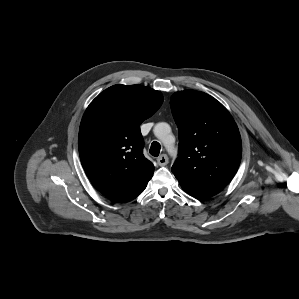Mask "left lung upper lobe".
<instances>
[{
    "instance_id": "obj_1",
    "label": "left lung upper lobe",
    "mask_w": 299,
    "mask_h": 299,
    "mask_svg": "<svg viewBox=\"0 0 299 299\" xmlns=\"http://www.w3.org/2000/svg\"><path fill=\"white\" fill-rule=\"evenodd\" d=\"M179 132L178 159L172 172L188 194L206 199L222 191L240 165L242 142L227 109L212 96L194 90L172 95Z\"/></svg>"
}]
</instances>
